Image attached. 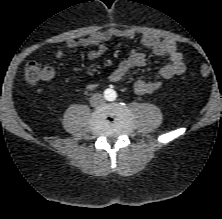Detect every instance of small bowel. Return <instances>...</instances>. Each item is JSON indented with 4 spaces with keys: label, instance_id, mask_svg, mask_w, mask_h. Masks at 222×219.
I'll return each instance as SVG.
<instances>
[{
    "label": "small bowel",
    "instance_id": "obj_1",
    "mask_svg": "<svg viewBox=\"0 0 222 219\" xmlns=\"http://www.w3.org/2000/svg\"><path fill=\"white\" fill-rule=\"evenodd\" d=\"M136 38L137 32L133 29L109 28L95 32L87 37L69 39L65 46L69 50L77 47H93V49L87 53V58L89 60H96L106 51L107 42L113 39L133 41ZM141 43L150 49L156 56L166 57L167 63L160 68L157 77L154 80L148 81L139 79L134 83V90L137 94L144 95L155 92L163 86L166 80L185 72V58L175 41L162 40L153 34L145 33L141 36ZM63 56L64 50L60 49L56 52L57 58H62ZM145 62V54L134 50L127 58L121 61L116 69L110 73L109 80L114 83L121 82L130 71L142 67ZM45 69L47 71V76L44 80L49 81L54 77L55 71L52 67H45ZM85 87L88 90H94L96 89L97 84L89 81L86 83Z\"/></svg>",
    "mask_w": 222,
    "mask_h": 219
}]
</instances>
